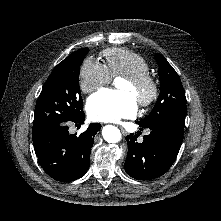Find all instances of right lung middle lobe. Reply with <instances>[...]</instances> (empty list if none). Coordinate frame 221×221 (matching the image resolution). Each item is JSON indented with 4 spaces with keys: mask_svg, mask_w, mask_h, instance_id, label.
Here are the masks:
<instances>
[{
    "mask_svg": "<svg viewBox=\"0 0 221 221\" xmlns=\"http://www.w3.org/2000/svg\"><path fill=\"white\" fill-rule=\"evenodd\" d=\"M88 51V48L79 49L51 72L36 103L32 136L53 124L68 122L83 114L79 73Z\"/></svg>",
    "mask_w": 221,
    "mask_h": 221,
    "instance_id": "right-lung-middle-lobe-1",
    "label": "right lung middle lobe"
}]
</instances>
